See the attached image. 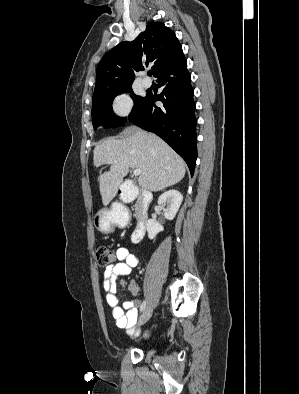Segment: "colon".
I'll return each mask as SVG.
<instances>
[{"instance_id": "colon-1", "label": "colon", "mask_w": 299, "mask_h": 394, "mask_svg": "<svg viewBox=\"0 0 299 394\" xmlns=\"http://www.w3.org/2000/svg\"><path fill=\"white\" fill-rule=\"evenodd\" d=\"M96 258L99 266H109L115 261L113 250L106 245H100L96 249Z\"/></svg>"}]
</instances>
